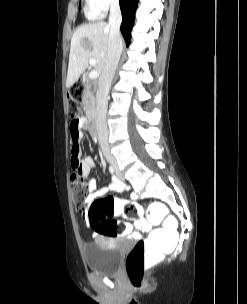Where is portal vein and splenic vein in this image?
Returning <instances> with one entry per match:
<instances>
[{
	"label": "portal vein and splenic vein",
	"mask_w": 247,
	"mask_h": 304,
	"mask_svg": "<svg viewBox=\"0 0 247 304\" xmlns=\"http://www.w3.org/2000/svg\"><path fill=\"white\" fill-rule=\"evenodd\" d=\"M89 64L91 66H94L96 64V60L94 58H90L89 59ZM99 76V73L96 71V70H92L90 73H89V78L90 79H96L97 77Z\"/></svg>",
	"instance_id": "portal-vein-and-splenic-vein-1"
}]
</instances>
